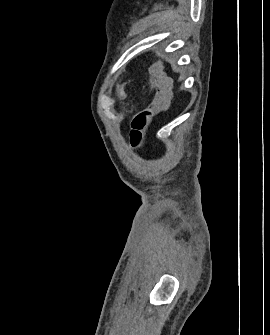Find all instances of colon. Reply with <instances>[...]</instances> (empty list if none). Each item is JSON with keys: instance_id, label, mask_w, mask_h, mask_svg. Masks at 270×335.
Listing matches in <instances>:
<instances>
[{"instance_id": "obj_1", "label": "colon", "mask_w": 270, "mask_h": 335, "mask_svg": "<svg viewBox=\"0 0 270 335\" xmlns=\"http://www.w3.org/2000/svg\"><path fill=\"white\" fill-rule=\"evenodd\" d=\"M150 78L154 81L152 84L153 89H161V97H158L157 102L154 103V108L158 109V116H165V109H173L174 103L169 102V99H173L174 94L171 91L173 87V80L171 73H161L164 69L165 64L161 62L160 57H151L150 59ZM154 68V69H153ZM160 77V78H159ZM153 108L146 107L140 109L133 117L131 124V144L138 147L143 141V129L150 123L153 116Z\"/></svg>"}]
</instances>
